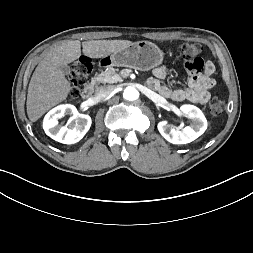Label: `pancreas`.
<instances>
[{
  "instance_id": "1",
  "label": "pancreas",
  "mask_w": 253,
  "mask_h": 253,
  "mask_svg": "<svg viewBox=\"0 0 253 253\" xmlns=\"http://www.w3.org/2000/svg\"><path fill=\"white\" fill-rule=\"evenodd\" d=\"M98 83H116L122 81V78L116 73L114 68H109L108 70L101 72L95 77Z\"/></svg>"
}]
</instances>
